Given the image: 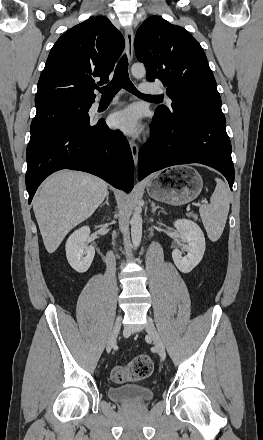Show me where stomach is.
<instances>
[{"mask_svg": "<svg viewBox=\"0 0 263 440\" xmlns=\"http://www.w3.org/2000/svg\"><path fill=\"white\" fill-rule=\"evenodd\" d=\"M201 175L192 167L182 166L153 176L147 183L151 198L179 206L193 201L201 192Z\"/></svg>", "mask_w": 263, "mask_h": 440, "instance_id": "1", "label": "stomach"}]
</instances>
